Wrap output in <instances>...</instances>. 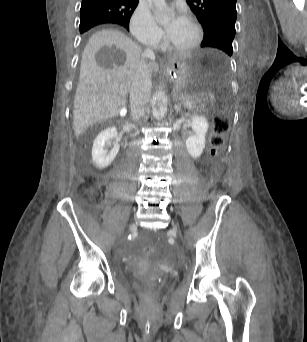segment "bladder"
Instances as JSON below:
<instances>
[{
    "mask_svg": "<svg viewBox=\"0 0 307 342\" xmlns=\"http://www.w3.org/2000/svg\"><path fill=\"white\" fill-rule=\"evenodd\" d=\"M123 278L136 289L141 290L146 286V278L135 271L126 272Z\"/></svg>",
    "mask_w": 307,
    "mask_h": 342,
    "instance_id": "31cf9c89",
    "label": "bladder"
}]
</instances>
